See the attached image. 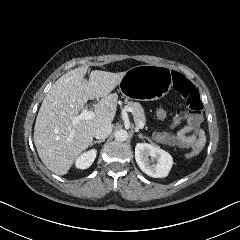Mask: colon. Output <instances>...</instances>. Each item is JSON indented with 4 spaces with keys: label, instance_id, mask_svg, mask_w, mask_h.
Listing matches in <instances>:
<instances>
[{
    "label": "colon",
    "instance_id": "obj_1",
    "mask_svg": "<svg viewBox=\"0 0 240 240\" xmlns=\"http://www.w3.org/2000/svg\"><path fill=\"white\" fill-rule=\"evenodd\" d=\"M174 83L176 84V89L181 91L183 99L188 100V118L195 125H198L202 121L203 109V102L200 99L198 90L192 84L187 83V79L181 74L174 76ZM156 116L158 119L165 120L167 119V112L163 111L162 107H159ZM198 148H202V141H193V144L190 145V151H186V158H191V155H194Z\"/></svg>",
    "mask_w": 240,
    "mask_h": 240
}]
</instances>
